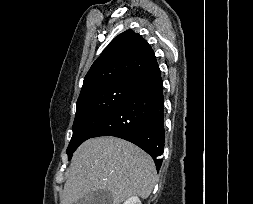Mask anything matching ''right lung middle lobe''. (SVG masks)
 I'll return each instance as SVG.
<instances>
[{"mask_svg": "<svg viewBox=\"0 0 253 204\" xmlns=\"http://www.w3.org/2000/svg\"><path fill=\"white\" fill-rule=\"evenodd\" d=\"M135 82L121 81L92 89L79 96L73 135L67 148L68 159L85 140L92 138L124 98Z\"/></svg>", "mask_w": 253, "mask_h": 204, "instance_id": "dd1d6c3e", "label": "right lung middle lobe"}]
</instances>
